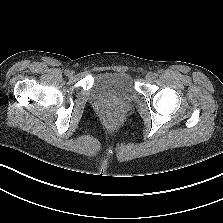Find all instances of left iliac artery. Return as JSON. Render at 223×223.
<instances>
[{"instance_id":"obj_1","label":"left iliac artery","mask_w":223,"mask_h":223,"mask_svg":"<svg viewBox=\"0 0 223 223\" xmlns=\"http://www.w3.org/2000/svg\"><path fill=\"white\" fill-rule=\"evenodd\" d=\"M154 77H155V78L158 77V73H154Z\"/></svg>"}]
</instances>
